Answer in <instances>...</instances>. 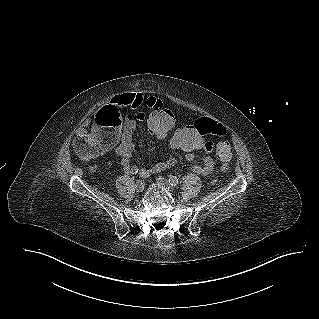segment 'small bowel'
<instances>
[{
  "mask_svg": "<svg viewBox=\"0 0 319 319\" xmlns=\"http://www.w3.org/2000/svg\"><path fill=\"white\" fill-rule=\"evenodd\" d=\"M142 104H145L153 113H170L171 111L170 104H163L156 97H148L145 99L143 94L135 92L120 94L113 97L105 108H99L98 111L94 112L91 117L92 126L90 128L87 125L81 126L77 130V136L89 137L91 145L100 149L101 154H104L117 142L121 134V141L113 148V152L121 158V165L124 171L131 173L133 167L131 166L130 158L135 149L134 134L136 122H142L147 125L146 113L138 112L135 119L130 120L121 109H125L126 107L137 108ZM123 126L125 127L121 133ZM147 127L149 129L148 125ZM149 132L151 133L150 129ZM200 134L204 135L201 132ZM214 146L215 141L213 139H207L203 146V151L210 153ZM184 157L187 161L191 162L195 159V153H184ZM176 162V158L171 157L141 172L148 176L166 170L174 166ZM192 171L196 174L211 176L214 173V160L212 157L206 156L202 163H196L192 166Z\"/></svg>",
  "mask_w": 319,
  "mask_h": 319,
  "instance_id": "obj_1",
  "label": "small bowel"
}]
</instances>
